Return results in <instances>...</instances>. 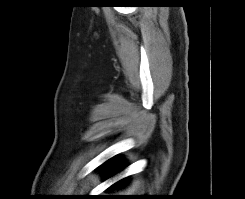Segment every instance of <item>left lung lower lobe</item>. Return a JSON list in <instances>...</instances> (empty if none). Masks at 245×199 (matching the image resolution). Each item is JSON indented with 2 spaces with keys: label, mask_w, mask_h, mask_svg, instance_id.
<instances>
[{
  "label": "left lung lower lobe",
  "mask_w": 245,
  "mask_h": 199,
  "mask_svg": "<svg viewBox=\"0 0 245 199\" xmlns=\"http://www.w3.org/2000/svg\"><path fill=\"white\" fill-rule=\"evenodd\" d=\"M106 164H107V165H111V166H114V167L119 168V166L116 164L115 160H112V159H110L109 161H107ZM112 174H113V173H112ZM108 176H111V174H108ZM121 184H122V180L119 181V182H117V183H115V184L113 185V187L119 186V185H121Z\"/></svg>",
  "instance_id": "0a47b994"
}]
</instances>
